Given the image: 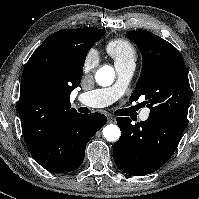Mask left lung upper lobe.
Segmentation results:
<instances>
[{
	"instance_id": "obj_1",
	"label": "left lung upper lobe",
	"mask_w": 199,
	"mask_h": 199,
	"mask_svg": "<svg viewBox=\"0 0 199 199\" xmlns=\"http://www.w3.org/2000/svg\"><path fill=\"white\" fill-rule=\"evenodd\" d=\"M127 38L142 54V70L130 101L145 96L150 114H160L186 124L191 98L187 69L180 52L151 32L127 31Z\"/></svg>"
}]
</instances>
